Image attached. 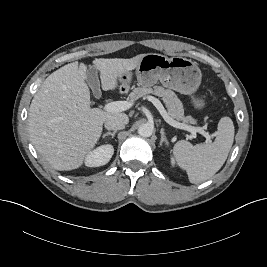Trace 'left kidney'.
I'll use <instances>...</instances> for the list:
<instances>
[{
	"mask_svg": "<svg viewBox=\"0 0 267 267\" xmlns=\"http://www.w3.org/2000/svg\"><path fill=\"white\" fill-rule=\"evenodd\" d=\"M171 163H172V165H174V161L173 160L171 161Z\"/></svg>",
	"mask_w": 267,
	"mask_h": 267,
	"instance_id": "left-kidney-1",
	"label": "left kidney"
}]
</instances>
